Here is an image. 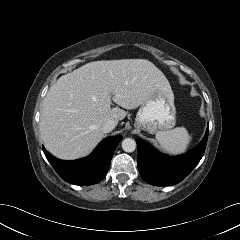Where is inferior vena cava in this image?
<instances>
[{
	"label": "inferior vena cava",
	"mask_w": 240,
	"mask_h": 240,
	"mask_svg": "<svg viewBox=\"0 0 240 240\" xmlns=\"http://www.w3.org/2000/svg\"><path fill=\"white\" fill-rule=\"evenodd\" d=\"M116 125H117L116 120L109 119L103 124L102 130H103L104 133H109L116 127Z\"/></svg>",
	"instance_id": "1"
}]
</instances>
